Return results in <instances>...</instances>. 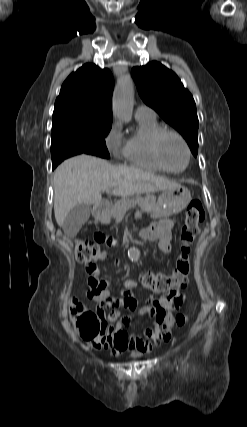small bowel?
I'll list each match as a JSON object with an SVG mask.
<instances>
[{"label": "small bowel", "mask_w": 247, "mask_h": 427, "mask_svg": "<svg viewBox=\"0 0 247 427\" xmlns=\"http://www.w3.org/2000/svg\"><path fill=\"white\" fill-rule=\"evenodd\" d=\"M174 223L169 219H163L152 223L148 228L140 232V237L146 240H157L159 249L163 253L171 252L172 229ZM111 233L103 229L96 231L97 244H105L109 250L115 245L120 247L119 241L112 238ZM86 271L89 274L87 280V297L95 302L96 314L103 322L106 335L104 345L112 347L114 353L123 351H149L153 347L168 342L171 338V328L174 323L172 312L179 309L185 296L179 290H173L159 299H148L146 306L140 308V302L131 292L138 287L133 280L123 282L124 291L120 296H114L109 289V281L100 279L99 269L95 263H87ZM147 313L152 318V324L142 333L129 334L125 327L131 322L129 316H125L122 309ZM106 310L110 312L106 314Z\"/></svg>", "instance_id": "1"}]
</instances>
